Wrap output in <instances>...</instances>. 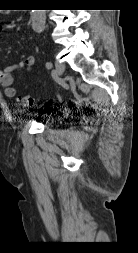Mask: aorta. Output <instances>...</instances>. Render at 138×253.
Segmentation results:
<instances>
[{
  "label": "aorta",
  "instance_id": "obj_1",
  "mask_svg": "<svg viewBox=\"0 0 138 253\" xmlns=\"http://www.w3.org/2000/svg\"><path fill=\"white\" fill-rule=\"evenodd\" d=\"M31 19L33 30L37 33L43 32L46 20L45 10H32Z\"/></svg>",
  "mask_w": 138,
  "mask_h": 253
}]
</instances>
